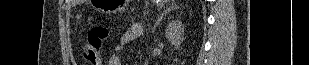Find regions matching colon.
I'll use <instances>...</instances> for the list:
<instances>
[{
	"mask_svg": "<svg viewBox=\"0 0 309 65\" xmlns=\"http://www.w3.org/2000/svg\"><path fill=\"white\" fill-rule=\"evenodd\" d=\"M109 35V30L104 26H96L85 36L83 55L92 65H101V48Z\"/></svg>",
	"mask_w": 309,
	"mask_h": 65,
	"instance_id": "obj_1",
	"label": "colon"
}]
</instances>
